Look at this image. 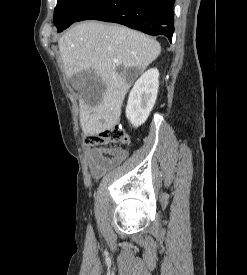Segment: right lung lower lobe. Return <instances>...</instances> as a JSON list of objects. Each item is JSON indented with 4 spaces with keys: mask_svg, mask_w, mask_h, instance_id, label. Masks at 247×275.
I'll return each mask as SVG.
<instances>
[{
    "mask_svg": "<svg viewBox=\"0 0 247 275\" xmlns=\"http://www.w3.org/2000/svg\"><path fill=\"white\" fill-rule=\"evenodd\" d=\"M175 0H98L77 19L119 23L149 35H164L169 41L174 32Z\"/></svg>",
    "mask_w": 247,
    "mask_h": 275,
    "instance_id": "obj_1",
    "label": "right lung lower lobe"
}]
</instances>
